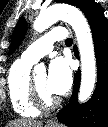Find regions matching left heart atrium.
Instances as JSON below:
<instances>
[{
    "instance_id": "1",
    "label": "left heart atrium",
    "mask_w": 108,
    "mask_h": 127,
    "mask_svg": "<svg viewBox=\"0 0 108 127\" xmlns=\"http://www.w3.org/2000/svg\"><path fill=\"white\" fill-rule=\"evenodd\" d=\"M72 83V72L69 62L62 57L52 60L46 79L47 90L55 96L63 95Z\"/></svg>"
}]
</instances>
